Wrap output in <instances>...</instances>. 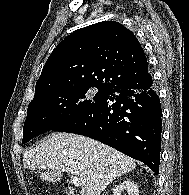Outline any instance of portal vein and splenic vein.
<instances>
[{
    "label": "portal vein and splenic vein",
    "instance_id": "1",
    "mask_svg": "<svg viewBox=\"0 0 189 195\" xmlns=\"http://www.w3.org/2000/svg\"><path fill=\"white\" fill-rule=\"evenodd\" d=\"M70 178L72 180V182L74 183L75 186H83L85 184V180L78 177V176H74V175H70Z\"/></svg>",
    "mask_w": 189,
    "mask_h": 195
}]
</instances>
